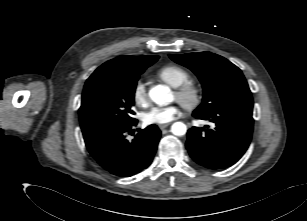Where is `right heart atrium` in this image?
<instances>
[{
  "mask_svg": "<svg viewBox=\"0 0 307 221\" xmlns=\"http://www.w3.org/2000/svg\"><path fill=\"white\" fill-rule=\"evenodd\" d=\"M132 100L139 107L148 105L149 96L144 82L138 80L132 89Z\"/></svg>",
  "mask_w": 307,
  "mask_h": 221,
  "instance_id": "right-heart-atrium-1",
  "label": "right heart atrium"
}]
</instances>
